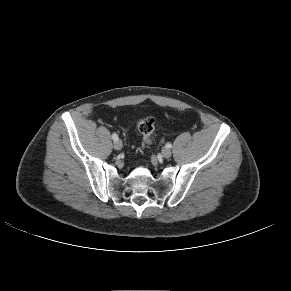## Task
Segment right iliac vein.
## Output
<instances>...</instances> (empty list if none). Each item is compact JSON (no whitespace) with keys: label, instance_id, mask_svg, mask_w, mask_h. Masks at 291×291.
<instances>
[{"label":"right iliac vein","instance_id":"right-iliac-vein-1","mask_svg":"<svg viewBox=\"0 0 291 291\" xmlns=\"http://www.w3.org/2000/svg\"><path fill=\"white\" fill-rule=\"evenodd\" d=\"M114 148L116 150H121V148H122V142H121V140L114 141Z\"/></svg>","mask_w":291,"mask_h":291}]
</instances>
